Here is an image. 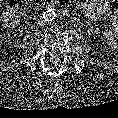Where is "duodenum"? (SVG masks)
<instances>
[{
  "mask_svg": "<svg viewBox=\"0 0 118 118\" xmlns=\"http://www.w3.org/2000/svg\"><path fill=\"white\" fill-rule=\"evenodd\" d=\"M63 11H64V13L66 14V15H68L69 14V12L67 11V9H63Z\"/></svg>",
  "mask_w": 118,
  "mask_h": 118,
  "instance_id": "obj_1",
  "label": "duodenum"
}]
</instances>
